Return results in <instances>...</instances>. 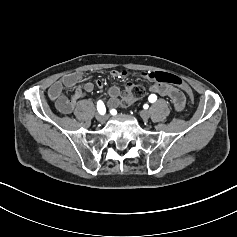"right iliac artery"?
<instances>
[{
    "label": "right iliac artery",
    "mask_w": 237,
    "mask_h": 237,
    "mask_svg": "<svg viewBox=\"0 0 237 237\" xmlns=\"http://www.w3.org/2000/svg\"><path fill=\"white\" fill-rule=\"evenodd\" d=\"M97 110L101 115H104L106 112L105 105L101 100L97 102Z\"/></svg>",
    "instance_id": "right-iliac-artery-1"
}]
</instances>
